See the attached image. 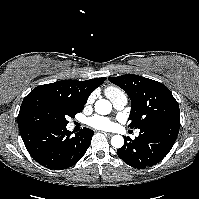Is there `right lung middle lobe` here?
<instances>
[{
    "label": "right lung middle lobe",
    "mask_w": 199,
    "mask_h": 199,
    "mask_svg": "<svg viewBox=\"0 0 199 199\" xmlns=\"http://www.w3.org/2000/svg\"><path fill=\"white\" fill-rule=\"evenodd\" d=\"M83 109L84 106L73 105L61 98L43 103L28 102L20 107L18 126H66L67 118H74Z\"/></svg>",
    "instance_id": "dd1d6c3e"
}]
</instances>
